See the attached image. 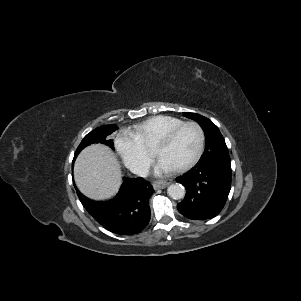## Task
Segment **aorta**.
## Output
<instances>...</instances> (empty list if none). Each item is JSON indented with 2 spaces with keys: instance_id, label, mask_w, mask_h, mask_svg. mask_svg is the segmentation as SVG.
Here are the masks:
<instances>
[{
  "instance_id": "aorta-1",
  "label": "aorta",
  "mask_w": 301,
  "mask_h": 301,
  "mask_svg": "<svg viewBox=\"0 0 301 301\" xmlns=\"http://www.w3.org/2000/svg\"><path fill=\"white\" fill-rule=\"evenodd\" d=\"M168 195L173 199H182L185 196V188L181 184H172L167 189Z\"/></svg>"
}]
</instances>
